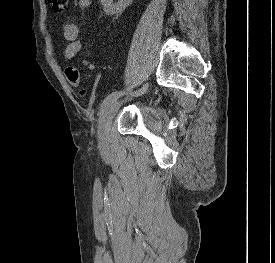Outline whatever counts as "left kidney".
Masks as SVG:
<instances>
[{
    "instance_id": "left-kidney-1",
    "label": "left kidney",
    "mask_w": 275,
    "mask_h": 263,
    "mask_svg": "<svg viewBox=\"0 0 275 263\" xmlns=\"http://www.w3.org/2000/svg\"><path fill=\"white\" fill-rule=\"evenodd\" d=\"M103 6L104 12L107 15H115L121 13L127 6H129L133 0H118L113 3V0H100Z\"/></svg>"
}]
</instances>
